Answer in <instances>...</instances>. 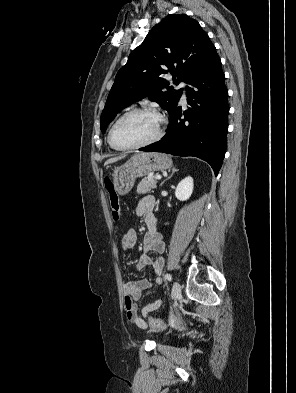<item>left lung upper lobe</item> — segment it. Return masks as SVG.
<instances>
[{
	"instance_id": "1",
	"label": "left lung upper lobe",
	"mask_w": 296,
	"mask_h": 393,
	"mask_svg": "<svg viewBox=\"0 0 296 393\" xmlns=\"http://www.w3.org/2000/svg\"><path fill=\"white\" fill-rule=\"evenodd\" d=\"M214 50L215 46L196 20L185 14L166 16L118 71L101 114V131L105 133L118 112L145 97L171 115L182 89L173 90L162 75L171 72L176 85L188 82Z\"/></svg>"
}]
</instances>
